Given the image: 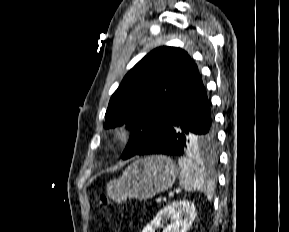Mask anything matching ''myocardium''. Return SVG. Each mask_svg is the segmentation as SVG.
I'll use <instances>...</instances> for the list:
<instances>
[{
  "label": "myocardium",
  "instance_id": "myocardium-1",
  "mask_svg": "<svg viewBox=\"0 0 289 232\" xmlns=\"http://www.w3.org/2000/svg\"><path fill=\"white\" fill-rule=\"evenodd\" d=\"M116 138L121 142H126L131 139L133 129L128 125H121L116 130Z\"/></svg>",
  "mask_w": 289,
  "mask_h": 232
}]
</instances>
